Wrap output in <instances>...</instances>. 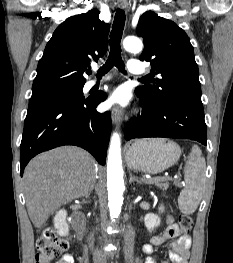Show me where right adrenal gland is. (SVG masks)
Masks as SVG:
<instances>
[{"label":"right adrenal gland","instance_id":"obj_1","mask_svg":"<svg viewBox=\"0 0 233 263\" xmlns=\"http://www.w3.org/2000/svg\"><path fill=\"white\" fill-rule=\"evenodd\" d=\"M95 188V181L91 184L89 190L87 191V194L85 195L86 197H89L93 189Z\"/></svg>","mask_w":233,"mask_h":263}]
</instances>
